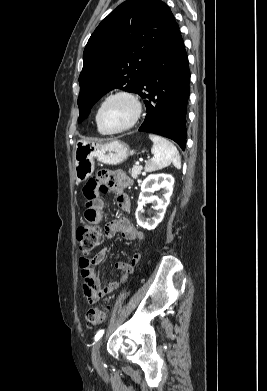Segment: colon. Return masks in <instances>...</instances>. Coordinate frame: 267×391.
Returning <instances> with one entry per match:
<instances>
[{"mask_svg": "<svg viewBox=\"0 0 267 391\" xmlns=\"http://www.w3.org/2000/svg\"><path fill=\"white\" fill-rule=\"evenodd\" d=\"M76 238L80 252L83 255H88L101 243L103 231L96 225L83 224L77 228ZM107 314L106 308L91 307L86 311L85 320L88 325H98L106 320Z\"/></svg>", "mask_w": 267, "mask_h": 391, "instance_id": "1", "label": "colon"}]
</instances>
